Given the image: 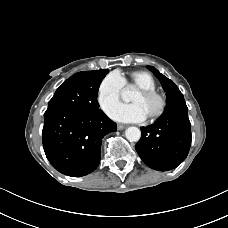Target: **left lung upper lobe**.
<instances>
[{"label": "left lung upper lobe", "mask_w": 228, "mask_h": 228, "mask_svg": "<svg viewBox=\"0 0 228 228\" xmlns=\"http://www.w3.org/2000/svg\"><path fill=\"white\" fill-rule=\"evenodd\" d=\"M147 68L154 73V75L159 79L161 82L164 91L166 92L167 96V105L173 102L176 99L184 98L183 94L180 92L178 87L173 83L172 80L165 77L161 74L156 68L153 66H147Z\"/></svg>", "instance_id": "5c2ea615"}]
</instances>
